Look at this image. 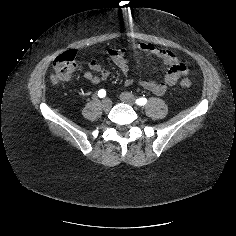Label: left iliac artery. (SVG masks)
Masks as SVG:
<instances>
[{
	"label": "left iliac artery",
	"mask_w": 236,
	"mask_h": 236,
	"mask_svg": "<svg viewBox=\"0 0 236 236\" xmlns=\"http://www.w3.org/2000/svg\"><path fill=\"white\" fill-rule=\"evenodd\" d=\"M146 103H147V99L146 98L141 97V98L136 99V104L139 105V106H143Z\"/></svg>",
	"instance_id": "44dca946"
}]
</instances>
